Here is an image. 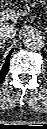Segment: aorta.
Returning a JSON list of instances; mask_svg holds the SVG:
<instances>
[{
  "instance_id": "obj_1",
  "label": "aorta",
  "mask_w": 47,
  "mask_h": 129,
  "mask_svg": "<svg viewBox=\"0 0 47 129\" xmlns=\"http://www.w3.org/2000/svg\"><path fill=\"white\" fill-rule=\"evenodd\" d=\"M23 44L29 49H39L44 46V37L34 29L28 30L23 34Z\"/></svg>"
}]
</instances>
